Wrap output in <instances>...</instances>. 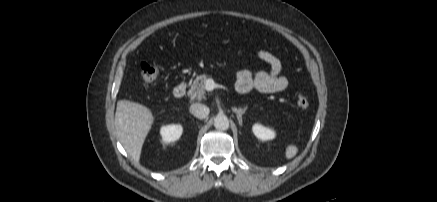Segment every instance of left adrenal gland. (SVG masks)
Segmentation results:
<instances>
[{
  "label": "left adrenal gland",
  "mask_w": 437,
  "mask_h": 202,
  "mask_svg": "<svg viewBox=\"0 0 437 202\" xmlns=\"http://www.w3.org/2000/svg\"><path fill=\"white\" fill-rule=\"evenodd\" d=\"M246 110H247V107H244V108H236V107H233V108H232V111L235 112L236 115H237V119H238V122H239V125H240V126H242V123H243V121H242V115L246 112Z\"/></svg>",
  "instance_id": "a2214340"
}]
</instances>
